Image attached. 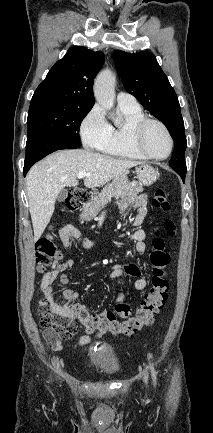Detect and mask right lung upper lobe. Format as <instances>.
Masks as SVG:
<instances>
[{"label": "right lung upper lobe", "instance_id": "obj_1", "mask_svg": "<svg viewBox=\"0 0 213 433\" xmlns=\"http://www.w3.org/2000/svg\"><path fill=\"white\" fill-rule=\"evenodd\" d=\"M104 61L101 51L94 52L82 46L70 48L50 69L32 100L49 99L93 107L94 78Z\"/></svg>", "mask_w": 213, "mask_h": 433}]
</instances>
